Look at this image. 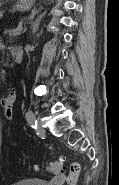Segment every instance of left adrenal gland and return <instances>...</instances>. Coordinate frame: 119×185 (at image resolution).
Masks as SVG:
<instances>
[{"mask_svg":"<svg viewBox=\"0 0 119 185\" xmlns=\"http://www.w3.org/2000/svg\"><path fill=\"white\" fill-rule=\"evenodd\" d=\"M45 15V13L40 14L36 20L32 23V32L33 34L36 33V31L38 30V26H39V22L40 19Z\"/></svg>","mask_w":119,"mask_h":185,"instance_id":"obj_1","label":"left adrenal gland"}]
</instances>
